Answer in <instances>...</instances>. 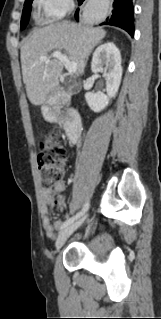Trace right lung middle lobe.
I'll return each mask as SVG.
<instances>
[{"mask_svg":"<svg viewBox=\"0 0 161 319\" xmlns=\"http://www.w3.org/2000/svg\"><path fill=\"white\" fill-rule=\"evenodd\" d=\"M32 1L27 0L24 4L23 14L21 18V29H24L28 23V18L30 16L31 8H32Z\"/></svg>","mask_w":161,"mask_h":319,"instance_id":"right-lung-middle-lobe-1","label":"right lung middle lobe"}]
</instances>
